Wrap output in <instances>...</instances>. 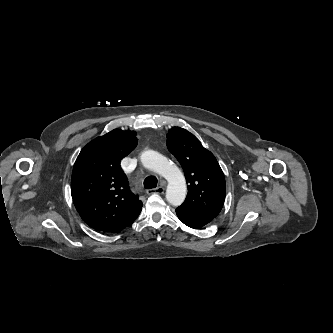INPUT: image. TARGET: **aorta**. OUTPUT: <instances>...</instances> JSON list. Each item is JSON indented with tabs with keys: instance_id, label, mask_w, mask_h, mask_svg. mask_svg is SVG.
Masks as SVG:
<instances>
[{
	"instance_id": "1",
	"label": "aorta",
	"mask_w": 333,
	"mask_h": 333,
	"mask_svg": "<svg viewBox=\"0 0 333 333\" xmlns=\"http://www.w3.org/2000/svg\"><path fill=\"white\" fill-rule=\"evenodd\" d=\"M140 160L145 168L158 173L167 180V201L174 206L180 205L186 197L187 188L185 178L179 168L152 150L143 152Z\"/></svg>"
}]
</instances>
